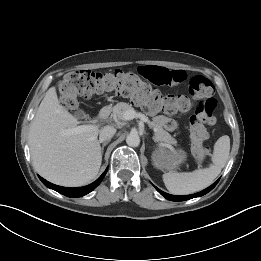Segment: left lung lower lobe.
Masks as SVG:
<instances>
[{
    "instance_id": "left-lung-lower-lobe-1",
    "label": "left lung lower lobe",
    "mask_w": 261,
    "mask_h": 261,
    "mask_svg": "<svg viewBox=\"0 0 261 261\" xmlns=\"http://www.w3.org/2000/svg\"><path fill=\"white\" fill-rule=\"evenodd\" d=\"M219 179L213 183L210 187L206 188L205 190L201 191V192H198V193H195V194H192V195H185V196H175V195H170V194H167L163 191H161L160 189H158L156 186H154L156 188V190L162 195L164 196L166 199L168 200H171V201H185V200H189V199H192V198H195V197H199V196H203L205 195L206 193H208L209 191H211L215 186L216 184L218 183Z\"/></svg>"
}]
</instances>
